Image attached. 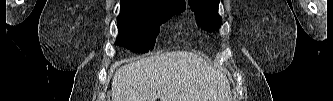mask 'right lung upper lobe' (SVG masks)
<instances>
[{
    "label": "right lung upper lobe",
    "instance_id": "cb5924a9",
    "mask_svg": "<svg viewBox=\"0 0 333 101\" xmlns=\"http://www.w3.org/2000/svg\"><path fill=\"white\" fill-rule=\"evenodd\" d=\"M168 1L179 2V3H184L185 4V0H168Z\"/></svg>",
    "mask_w": 333,
    "mask_h": 101
}]
</instances>
